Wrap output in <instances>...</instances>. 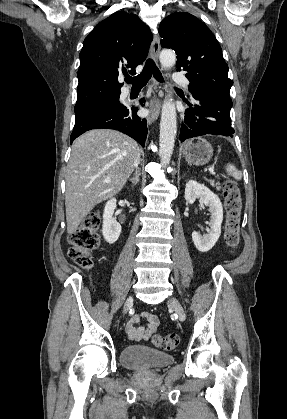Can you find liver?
I'll return each mask as SVG.
<instances>
[{"label": "liver", "instance_id": "1", "mask_svg": "<svg viewBox=\"0 0 287 419\" xmlns=\"http://www.w3.org/2000/svg\"><path fill=\"white\" fill-rule=\"evenodd\" d=\"M139 153L132 138L110 129L91 130L74 141L65 177L69 235L97 204L121 191Z\"/></svg>", "mask_w": 287, "mask_h": 419}]
</instances>
